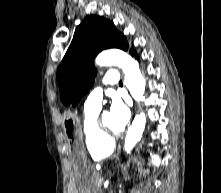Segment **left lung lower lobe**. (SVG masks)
<instances>
[{"label":"left lung lower lobe","mask_w":221,"mask_h":193,"mask_svg":"<svg viewBox=\"0 0 221 193\" xmlns=\"http://www.w3.org/2000/svg\"><path fill=\"white\" fill-rule=\"evenodd\" d=\"M130 54H131L132 56H135V58H136L137 60H139V56L137 55V53H136L133 49L130 50Z\"/></svg>","instance_id":"1"}]
</instances>
